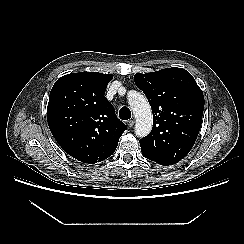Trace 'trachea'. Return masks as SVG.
Masks as SVG:
<instances>
[{
    "label": "trachea",
    "mask_w": 244,
    "mask_h": 244,
    "mask_svg": "<svg viewBox=\"0 0 244 244\" xmlns=\"http://www.w3.org/2000/svg\"><path fill=\"white\" fill-rule=\"evenodd\" d=\"M119 117L122 120H128L131 118V111L128 107H122L119 111Z\"/></svg>",
    "instance_id": "3493384b"
}]
</instances>
